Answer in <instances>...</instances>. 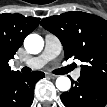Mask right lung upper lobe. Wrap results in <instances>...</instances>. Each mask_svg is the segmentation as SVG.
Returning <instances> with one entry per match:
<instances>
[{"mask_svg":"<svg viewBox=\"0 0 107 107\" xmlns=\"http://www.w3.org/2000/svg\"><path fill=\"white\" fill-rule=\"evenodd\" d=\"M40 18L24 17L21 14L0 15V76L11 71L8 61L14 57L24 38L39 24Z\"/></svg>","mask_w":107,"mask_h":107,"instance_id":"right-lung-upper-lobe-1","label":"right lung upper lobe"}]
</instances>
